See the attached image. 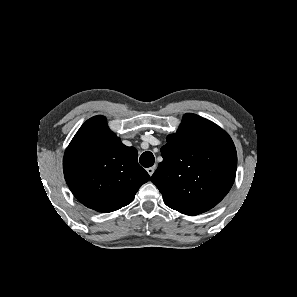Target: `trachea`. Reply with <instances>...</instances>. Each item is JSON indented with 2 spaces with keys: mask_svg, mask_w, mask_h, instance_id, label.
<instances>
[{
  "mask_svg": "<svg viewBox=\"0 0 297 297\" xmlns=\"http://www.w3.org/2000/svg\"><path fill=\"white\" fill-rule=\"evenodd\" d=\"M154 161V155L150 151L144 152L139 159L140 164L145 168L153 166Z\"/></svg>",
  "mask_w": 297,
  "mask_h": 297,
  "instance_id": "1",
  "label": "trachea"
}]
</instances>
